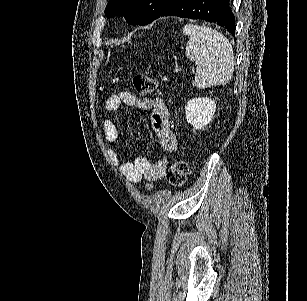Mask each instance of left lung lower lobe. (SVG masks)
Returning <instances> with one entry per match:
<instances>
[{
  "mask_svg": "<svg viewBox=\"0 0 307 301\" xmlns=\"http://www.w3.org/2000/svg\"><path fill=\"white\" fill-rule=\"evenodd\" d=\"M164 16L203 19L217 23L235 35V17L229 0H175L159 17Z\"/></svg>",
  "mask_w": 307,
  "mask_h": 301,
  "instance_id": "left-lung-lower-lobe-1",
  "label": "left lung lower lobe"
}]
</instances>
